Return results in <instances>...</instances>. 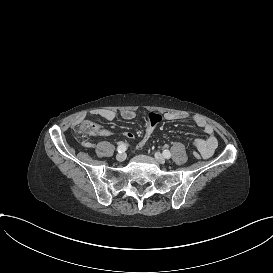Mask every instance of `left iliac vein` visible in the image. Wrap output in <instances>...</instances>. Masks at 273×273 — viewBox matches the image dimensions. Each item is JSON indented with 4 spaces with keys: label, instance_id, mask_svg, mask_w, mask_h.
<instances>
[{
    "label": "left iliac vein",
    "instance_id": "left-iliac-vein-1",
    "mask_svg": "<svg viewBox=\"0 0 273 273\" xmlns=\"http://www.w3.org/2000/svg\"><path fill=\"white\" fill-rule=\"evenodd\" d=\"M154 157H155V159H156L159 163H161V164H164V163L166 162L165 157H164L161 153H159V152H156V153L154 154Z\"/></svg>",
    "mask_w": 273,
    "mask_h": 273
}]
</instances>
